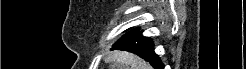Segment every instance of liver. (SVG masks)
Returning <instances> with one entry per match:
<instances>
[{
  "instance_id": "obj_1",
  "label": "liver",
  "mask_w": 246,
  "mask_h": 69,
  "mask_svg": "<svg viewBox=\"0 0 246 69\" xmlns=\"http://www.w3.org/2000/svg\"><path fill=\"white\" fill-rule=\"evenodd\" d=\"M111 67L115 69H151V66L132 53L126 51H114L109 55Z\"/></svg>"
}]
</instances>
